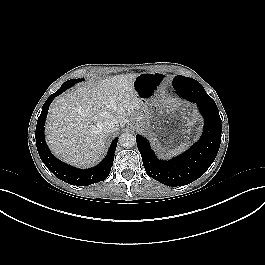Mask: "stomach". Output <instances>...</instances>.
Segmentation results:
<instances>
[{"instance_id":"obj_1","label":"stomach","mask_w":265,"mask_h":265,"mask_svg":"<svg viewBox=\"0 0 265 265\" xmlns=\"http://www.w3.org/2000/svg\"><path fill=\"white\" fill-rule=\"evenodd\" d=\"M166 75L160 72L140 73L134 80V88L144 103L145 113L141 121L135 120L137 129L156 137L157 143L165 149L183 146L194 134L192 116L180 106L156 108L153 100L163 88Z\"/></svg>"}]
</instances>
